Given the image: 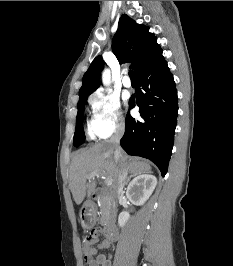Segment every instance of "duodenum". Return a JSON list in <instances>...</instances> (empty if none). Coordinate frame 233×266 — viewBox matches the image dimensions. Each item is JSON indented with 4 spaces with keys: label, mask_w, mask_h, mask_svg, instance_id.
<instances>
[{
    "label": "duodenum",
    "mask_w": 233,
    "mask_h": 266,
    "mask_svg": "<svg viewBox=\"0 0 233 266\" xmlns=\"http://www.w3.org/2000/svg\"><path fill=\"white\" fill-rule=\"evenodd\" d=\"M106 195H109V193H106L104 191H96L92 194V199L96 200L100 197L101 198L105 197ZM104 234L109 241H115L116 239H118L119 234H118V229H117V226L114 220L113 211H111L110 219L108 220V222L106 223L104 227Z\"/></svg>",
    "instance_id": "1"
}]
</instances>
